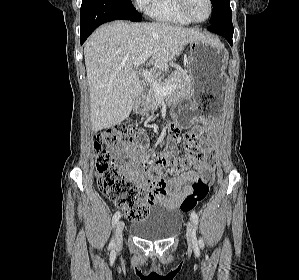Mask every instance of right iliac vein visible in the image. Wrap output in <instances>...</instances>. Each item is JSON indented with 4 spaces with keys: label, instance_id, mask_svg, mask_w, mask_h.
I'll return each mask as SVG.
<instances>
[{
    "label": "right iliac vein",
    "instance_id": "right-iliac-vein-1",
    "mask_svg": "<svg viewBox=\"0 0 299 280\" xmlns=\"http://www.w3.org/2000/svg\"><path fill=\"white\" fill-rule=\"evenodd\" d=\"M123 229L124 223L122 221L117 222L115 229V248L120 249L123 242Z\"/></svg>",
    "mask_w": 299,
    "mask_h": 280
}]
</instances>
